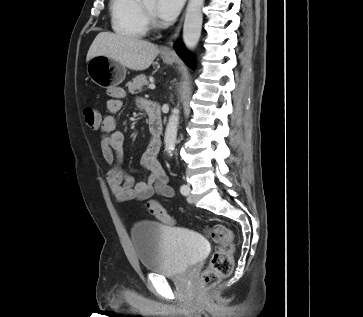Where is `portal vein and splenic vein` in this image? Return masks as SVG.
Wrapping results in <instances>:
<instances>
[{
  "mask_svg": "<svg viewBox=\"0 0 363 317\" xmlns=\"http://www.w3.org/2000/svg\"><path fill=\"white\" fill-rule=\"evenodd\" d=\"M149 89H151V90L155 89V85L154 84H150L149 85Z\"/></svg>",
  "mask_w": 363,
  "mask_h": 317,
  "instance_id": "18ae733b",
  "label": "portal vein and splenic vein"
}]
</instances>
